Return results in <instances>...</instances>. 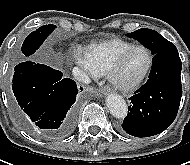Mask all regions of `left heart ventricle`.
Here are the masks:
<instances>
[{
    "mask_svg": "<svg viewBox=\"0 0 190 165\" xmlns=\"http://www.w3.org/2000/svg\"><path fill=\"white\" fill-rule=\"evenodd\" d=\"M149 57L145 50L136 49L132 51L124 60L119 73V78L123 82H131L139 78L148 65Z\"/></svg>",
    "mask_w": 190,
    "mask_h": 165,
    "instance_id": "1",
    "label": "left heart ventricle"
}]
</instances>
